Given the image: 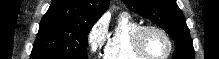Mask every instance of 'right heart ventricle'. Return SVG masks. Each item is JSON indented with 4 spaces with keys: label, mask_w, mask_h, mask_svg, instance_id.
<instances>
[{
    "label": "right heart ventricle",
    "mask_w": 219,
    "mask_h": 59,
    "mask_svg": "<svg viewBox=\"0 0 219 59\" xmlns=\"http://www.w3.org/2000/svg\"><path fill=\"white\" fill-rule=\"evenodd\" d=\"M140 25L130 14H119L114 28L106 35L103 59H143L132 49V36Z\"/></svg>",
    "instance_id": "obj_1"
}]
</instances>
